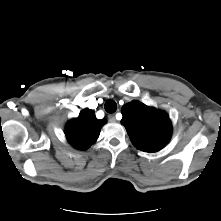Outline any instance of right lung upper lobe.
Returning a JSON list of instances; mask_svg holds the SVG:
<instances>
[{
    "label": "right lung upper lobe",
    "instance_id": "right-lung-upper-lobe-1",
    "mask_svg": "<svg viewBox=\"0 0 221 221\" xmlns=\"http://www.w3.org/2000/svg\"><path fill=\"white\" fill-rule=\"evenodd\" d=\"M105 119L98 120L94 111L84 109L76 119L70 120L65 129L69 143L79 150H85L97 140Z\"/></svg>",
    "mask_w": 221,
    "mask_h": 221
}]
</instances>
